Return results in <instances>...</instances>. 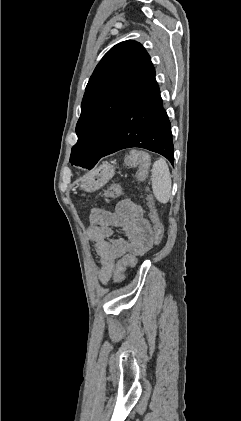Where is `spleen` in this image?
<instances>
[{
  "mask_svg": "<svg viewBox=\"0 0 241 421\" xmlns=\"http://www.w3.org/2000/svg\"><path fill=\"white\" fill-rule=\"evenodd\" d=\"M152 190L155 198L166 204L171 197L172 180L166 161L162 158L156 160L152 168Z\"/></svg>",
  "mask_w": 241,
  "mask_h": 421,
  "instance_id": "obj_1",
  "label": "spleen"
}]
</instances>
